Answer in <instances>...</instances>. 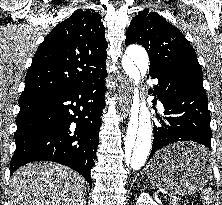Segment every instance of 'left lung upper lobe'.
<instances>
[{"mask_svg":"<svg viewBox=\"0 0 222 205\" xmlns=\"http://www.w3.org/2000/svg\"><path fill=\"white\" fill-rule=\"evenodd\" d=\"M137 43L148 52L151 66H166L203 80L196 54L184 35L158 13L144 9L131 20L125 44Z\"/></svg>","mask_w":222,"mask_h":205,"instance_id":"obj_1","label":"left lung upper lobe"}]
</instances>
